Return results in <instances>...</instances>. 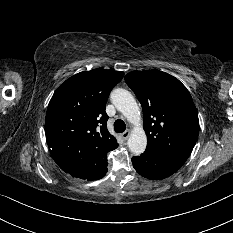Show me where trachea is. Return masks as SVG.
Segmentation results:
<instances>
[{
    "label": "trachea",
    "instance_id": "trachea-1",
    "mask_svg": "<svg viewBox=\"0 0 233 233\" xmlns=\"http://www.w3.org/2000/svg\"><path fill=\"white\" fill-rule=\"evenodd\" d=\"M126 129V125L124 123L123 120L121 119H117L115 122H114V130L115 132L117 133H122L124 132Z\"/></svg>",
    "mask_w": 233,
    "mask_h": 233
}]
</instances>
